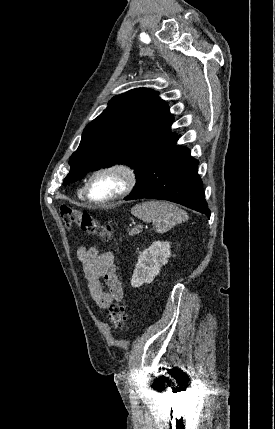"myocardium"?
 <instances>
[{
    "label": "myocardium",
    "mask_w": 275,
    "mask_h": 429,
    "mask_svg": "<svg viewBox=\"0 0 275 429\" xmlns=\"http://www.w3.org/2000/svg\"><path fill=\"white\" fill-rule=\"evenodd\" d=\"M116 173L118 175L121 176L123 184L121 189L116 192L115 194H113L112 196L105 198V199H94L91 197L90 194V187H91V183L93 181V179L95 177H97L100 174L103 173ZM137 182V175L135 170L133 169L132 166H130L129 164L125 163V162H111L108 164H104L98 168H96L88 177L85 187H84V195L85 198L94 203V204H98V205H105V204H109L112 203L116 200H119L121 198L126 197L127 195H129L132 190L134 189L135 185Z\"/></svg>",
    "instance_id": "1"
}]
</instances>
